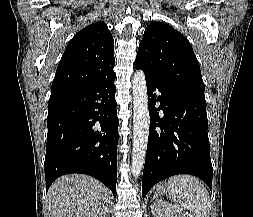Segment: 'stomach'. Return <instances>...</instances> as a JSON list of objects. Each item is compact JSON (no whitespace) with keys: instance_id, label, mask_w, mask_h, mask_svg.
I'll return each instance as SVG.
<instances>
[{"instance_id":"1","label":"stomach","mask_w":253,"mask_h":217,"mask_svg":"<svg viewBox=\"0 0 253 217\" xmlns=\"http://www.w3.org/2000/svg\"><path fill=\"white\" fill-rule=\"evenodd\" d=\"M168 191V185L166 183H161L157 186V194L158 195H163L167 193Z\"/></svg>"}]
</instances>
